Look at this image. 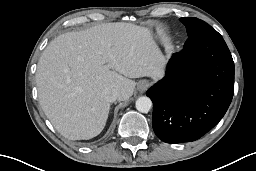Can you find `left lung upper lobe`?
I'll return each mask as SVG.
<instances>
[{"instance_id":"left-lung-upper-lobe-1","label":"left lung upper lobe","mask_w":256,"mask_h":171,"mask_svg":"<svg viewBox=\"0 0 256 171\" xmlns=\"http://www.w3.org/2000/svg\"><path fill=\"white\" fill-rule=\"evenodd\" d=\"M182 23L185 24L189 38L211 37L222 38V36L203 20L195 17H182Z\"/></svg>"}]
</instances>
